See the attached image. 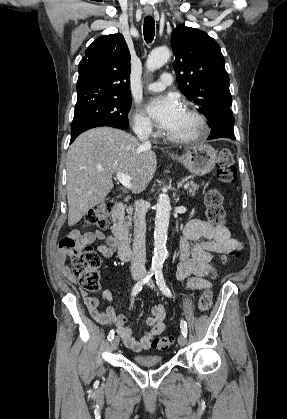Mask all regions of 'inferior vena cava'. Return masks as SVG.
<instances>
[{
  "label": "inferior vena cava",
  "instance_id": "obj_1",
  "mask_svg": "<svg viewBox=\"0 0 287 419\" xmlns=\"http://www.w3.org/2000/svg\"><path fill=\"white\" fill-rule=\"evenodd\" d=\"M151 128L142 126L138 130V138L144 147H151L148 140ZM134 240L133 256L131 260V274L133 277H143L146 274V208L143 200H137L134 203Z\"/></svg>",
  "mask_w": 287,
  "mask_h": 419
}]
</instances>
